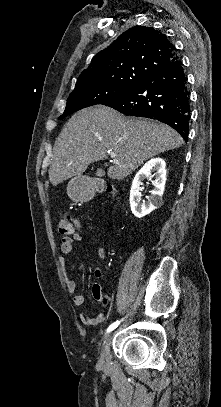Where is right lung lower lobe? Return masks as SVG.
Wrapping results in <instances>:
<instances>
[{
    "label": "right lung lower lobe",
    "instance_id": "right-lung-lower-lobe-1",
    "mask_svg": "<svg viewBox=\"0 0 221 407\" xmlns=\"http://www.w3.org/2000/svg\"><path fill=\"white\" fill-rule=\"evenodd\" d=\"M103 105L129 115L155 119L174 128L187 142L190 92L182 62L176 56L124 95Z\"/></svg>",
    "mask_w": 221,
    "mask_h": 407
}]
</instances>
